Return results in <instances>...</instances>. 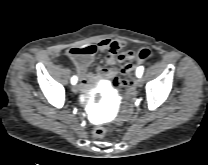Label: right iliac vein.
<instances>
[{"label":"right iliac vein","mask_w":208,"mask_h":165,"mask_svg":"<svg viewBox=\"0 0 208 165\" xmlns=\"http://www.w3.org/2000/svg\"><path fill=\"white\" fill-rule=\"evenodd\" d=\"M78 86L76 85V84H74L73 86H72V91L74 92V93H77L78 92Z\"/></svg>","instance_id":"obj_1"}]
</instances>
